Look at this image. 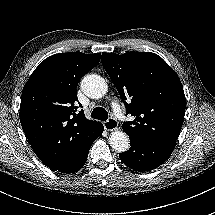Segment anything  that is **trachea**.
I'll use <instances>...</instances> for the list:
<instances>
[{
    "instance_id": "obj_1",
    "label": "trachea",
    "mask_w": 215,
    "mask_h": 215,
    "mask_svg": "<svg viewBox=\"0 0 215 215\" xmlns=\"http://www.w3.org/2000/svg\"><path fill=\"white\" fill-rule=\"evenodd\" d=\"M91 116L94 119L106 121L108 119V113L103 107H96L93 109Z\"/></svg>"
}]
</instances>
